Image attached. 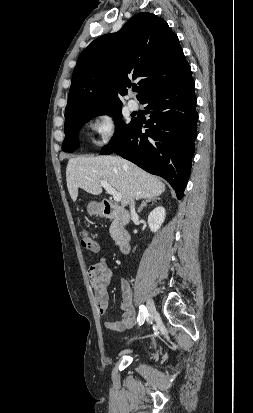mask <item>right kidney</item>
I'll return each mask as SVG.
<instances>
[{
	"mask_svg": "<svg viewBox=\"0 0 253 413\" xmlns=\"http://www.w3.org/2000/svg\"><path fill=\"white\" fill-rule=\"evenodd\" d=\"M165 215V209L162 206H158L150 212L148 216V224L153 233L160 229L165 220Z\"/></svg>",
	"mask_w": 253,
	"mask_h": 413,
	"instance_id": "1",
	"label": "right kidney"
}]
</instances>
